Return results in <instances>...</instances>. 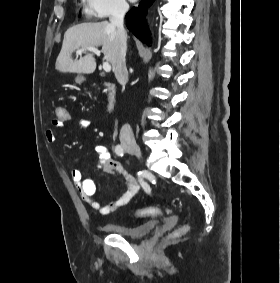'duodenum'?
<instances>
[{
	"label": "duodenum",
	"instance_id": "duodenum-1",
	"mask_svg": "<svg viewBox=\"0 0 280 283\" xmlns=\"http://www.w3.org/2000/svg\"><path fill=\"white\" fill-rule=\"evenodd\" d=\"M105 92L107 95V109L111 111L116 103V89L113 84L107 83L105 85Z\"/></svg>",
	"mask_w": 280,
	"mask_h": 283
}]
</instances>
